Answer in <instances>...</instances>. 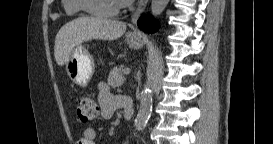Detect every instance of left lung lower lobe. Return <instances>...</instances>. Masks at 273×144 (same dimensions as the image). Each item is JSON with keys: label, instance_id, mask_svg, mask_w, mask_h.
I'll return each mask as SVG.
<instances>
[{"label": "left lung lower lobe", "instance_id": "1", "mask_svg": "<svg viewBox=\"0 0 273 144\" xmlns=\"http://www.w3.org/2000/svg\"><path fill=\"white\" fill-rule=\"evenodd\" d=\"M138 27L147 32L153 33L158 30L159 25L156 20L153 19L152 15L143 14L138 20Z\"/></svg>", "mask_w": 273, "mask_h": 144}]
</instances>
